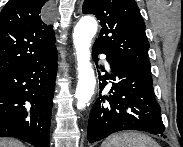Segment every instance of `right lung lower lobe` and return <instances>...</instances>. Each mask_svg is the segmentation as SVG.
<instances>
[{
	"label": "right lung lower lobe",
	"mask_w": 183,
	"mask_h": 147,
	"mask_svg": "<svg viewBox=\"0 0 183 147\" xmlns=\"http://www.w3.org/2000/svg\"><path fill=\"white\" fill-rule=\"evenodd\" d=\"M57 51L0 74V137L49 147Z\"/></svg>",
	"instance_id": "1"
}]
</instances>
